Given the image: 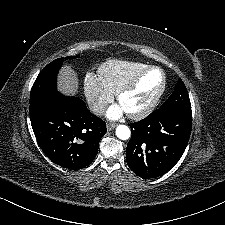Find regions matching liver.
<instances>
[{
  "label": "liver",
  "instance_id": "liver-1",
  "mask_svg": "<svg viewBox=\"0 0 225 225\" xmlns=\"http://www.w3.org/2000/svg\"><path fill=\"white\" fill-rule=\"evenodd\" d=\"M78 87L77 74L70 66H64L58 77V90L65 95H75Z\"/></svg>",
  "mask_w": 225,
  "mask_h": 225
}]
</instances>
